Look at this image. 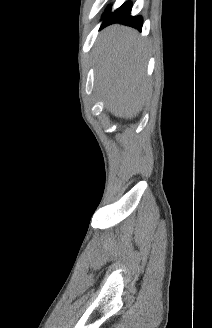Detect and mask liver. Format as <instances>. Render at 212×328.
Listing matches in <instances>:
<instances>
[{"label":"liver","mask_w":212,"mask_h":328,"mask_svg":"<svg viewBox=\"0 0 212 328\" xmlns=\"http://www.w3.org/2000/svg\"><path fill=\"white\" fill-rule=\"evenodd\" d=\"M146 59V47L134 29L113 25L101 34L96 78L113 115L131 119L141 110L147 91Z\"/></svg>","instance_id":"obj_1"}]
</instances>
